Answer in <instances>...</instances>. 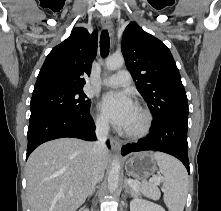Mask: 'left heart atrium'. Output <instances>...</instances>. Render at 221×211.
Instances as JSON below:
<instances>
[{
	"mask_svg": "<svg viewBox=\"0 0 221 211\" xmlns=\"http://www.w3.org/2000/svg\"><path fill=\"white\" fill-rule=\"evenodd\" d=\"M99 107L105 117L120 129H125L136 109L130 95L120 91H111L104 94Z\"/></svg>",
	"mask_w": 221,
	"mask_h": 211,
	"instance_id": "obj_1",
	"label": "left heart atrium"
}]
</instances>
